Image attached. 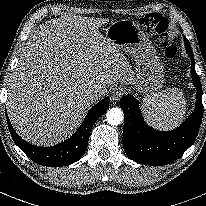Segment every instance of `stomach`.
<instances>
[{
    "instance_id": "obj_1",
    "label": "stomach",
    "mask_w": 206,
    "mask_h": 206,
    "mask_svg": "<svg viewBox=\"0 0 206 206\" xmlns=\"http://www.w3.org/2000/svg\"><path fill=\"white\" fill-rule=\"evenodd\" d=\"M105 37L135 61L132 86L139 94L151 95L164 83V67L149 38L139 24L122 19L109 24Z\"/></svg>"
}]
</instances>
